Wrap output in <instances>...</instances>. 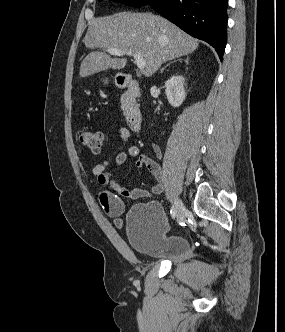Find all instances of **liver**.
Instances as JSON below:
<instances>
[{
  "mask_svg": "<svg viewBox=\"0 0 285 332\" xmlns=\"http://www.w3.org/2000/svg\"><path fill=\"white\" fill-rule=\"evenodd\" d=\"M89 49L116 48L128 56L138 54L146 61L144 74L152 76L163 63L194 52L199 42L179 27L151 13L120 12L90 23L84 38ZM126 58H112L104 52H91L81 63L80 77L122 69Z\"/></svg>",
  "mask_w": 285,
  "mask_h": 332,
  "instance_id": "obj_1",
  "label": "liver"
}]
</instances>
